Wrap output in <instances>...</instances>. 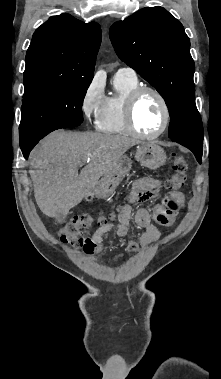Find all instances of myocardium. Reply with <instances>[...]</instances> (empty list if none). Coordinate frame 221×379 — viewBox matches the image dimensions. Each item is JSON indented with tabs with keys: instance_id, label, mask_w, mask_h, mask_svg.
<instances>
[{
	"instance_id": "f54148a6",
	"label": "myocardium",
	"mask_w": 221,
	"mask_h": 379,
	"mask_svg": "<svg viewBox=\"0 0 221 379\" xmlns=\"http://www.w3.org/2000/svg\"><path fill=\"white\" fill-rule=\"evenodd\" d=\"M144 93H152L153 95H155L157 99L159 100L162 107V111H163L162 125L160 129L153 134L142 133L138 130V128L135 125V120H134L135 106L140 96H142ZM124 119H125V124L129 133L142 139H147V140L156 139L160 137L168 128V125L170 122V109L164 95L158 89L151 86H138L134 88L126 97L125 105H124Z\"/></svg>"
}]
</instances>
